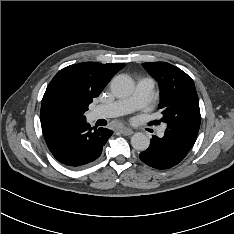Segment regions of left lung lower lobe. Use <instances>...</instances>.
I'll list each match as a JSON object with an SVG mask.
<instances>
[{
  "label": "left lung lower lobe",
  "instance_id": "0a47b994",
  "mask_svg": "<svg viewBox=\"0 0 234 234\" xmlns=\"http://www.w3.org/2000/svg\"><path fill=\"white\" fill-rule=\"evenodd\" d=\"M190 148L174 137L164 134L162 138L153 136L150 146L139 154L142 162L156 169H168L180 163Z\"/></svg>",
  "mask_w": 234,
  "mask_h": 234
}]
</instances>
